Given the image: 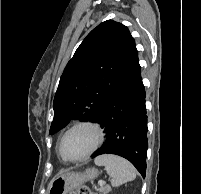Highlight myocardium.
<instances>
[{
	"label": "myocardium",
	"mask_w": 201,
	"mask_h": 194,
	"mask_svg": "<svg viewBox=\"0 0 201 194\" xmlns=\"http://www.w3.org/2000/svg\"><path fill=\"white\" fill-rule=\"evenodd\" d=\"M78 128L90 129L94 133V136H95L94 144L84 155L77 157V158H67L62 152L63 140L68 133H70L71 131L78 129ZM103 141H104V130L98 122L93 121V120H88V119L79 120V121L73 123L72 125H70L60 136V139L58 142V153H59L60 157L66 162H71V163L81 162L83 160L88 159L91 155H93L99 149V147L102 145Z\"/></svg>",
	"instance_id": "myocardium-1"
}]
</instances>
